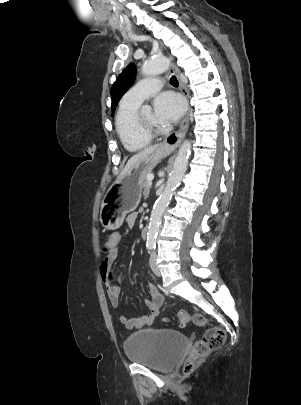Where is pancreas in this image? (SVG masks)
I'll list each match as a JSON object with an SVG mask.
<instances>
[{
  "mask_svg": "<svg viewBox=\"0 0 301 405\" xmlns=\"http://www.w3.org/2000/svg\"><path fill=\"white\" fill-rule=\"evenodd\" d=\"M150 189H151V184H150V181L146 177L145 180H144V183H143V196H144V198H147L149 196Z\"/></svg>",
  "mask_w": 301,
  "mask_h": 405,
  "instance_id": "obj_1",
  "label": "pancreas"
}]
</instances>
